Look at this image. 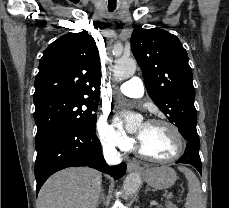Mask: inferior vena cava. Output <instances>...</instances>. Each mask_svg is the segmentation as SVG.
I'll use <instances>...</instances> for the list:
<instances>
[{
	"label": "inferior vena cava",
	"instance_id": "1",
	"mask_svg": "<svg viewBox=\"0 0 229 208\" xmlns=\"http://www.w3.org/2000/svg\"><path fill=\"white\" fill-rule=\"evenodd\" d=\"M103 152L107 164H120L121 158L118 156L117 152L110 150V148H106V150H103Z\"/></svg>",
	"mask_w": 229,
	"mask_h": 208
}]
</instances>
